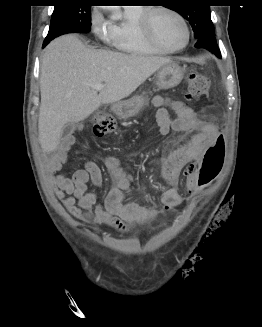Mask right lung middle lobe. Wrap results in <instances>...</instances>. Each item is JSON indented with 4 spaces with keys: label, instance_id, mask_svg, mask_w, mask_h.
<instances>
[{
    "label": "right lung middle lobe",
    "instance_id": "dd1d6c3e",
    "mask_svg": "<svg viewBox=\"0 0 262 327\" xmlns=\"http://www.w3.org/2000/svg\"><path fill=\"white\" fill-rule=\"evenodd\" d=\"M58 3L54 7L49 32L43 46L62 34L88 33L90 31L91 6L78 5V0H63Z\"/></svg>",
    "mask_w": 262,
    "mask_h": 327
}]
</instances>
